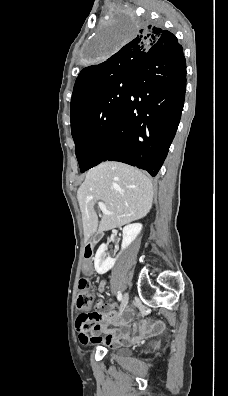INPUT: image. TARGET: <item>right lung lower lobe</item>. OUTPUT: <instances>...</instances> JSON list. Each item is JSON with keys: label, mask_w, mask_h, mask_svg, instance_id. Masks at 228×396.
<instances>
[{"label": "right lung lower lobe", "mask_w": 228, "mask_h": 396, "mask_svg": "<svg viewBox=\"0 0 228 396\" xmlns=\"http://www.w3.org/2000/svg\"><path fill=\"white\" fill-rule=\"evenodd\" d=\"M178 44L149 53L136 67L102 162H124L153 177L159 172L184 105L186 63Z\"/></svg>", "instance_id": "98d812e1"}]
</instances>
